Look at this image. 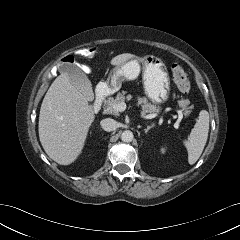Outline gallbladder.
<instances>
[{"instance_id":"obj_1","label":"gallbladder","mask_w":240,"mask_h":240,"mask_svg":"<svg viewBox=\"0 0 240 240\" xmlns=\"http://www.w3.org/2000/svg\"><path fill=\"white\" fill-rule=\"evenodd\" d=\"M60 71L68 74L70 83L82 92L89 101L94 99L91 82L80 66L76 64H64L60 67Z\"/></svg>"}]
</instances>
